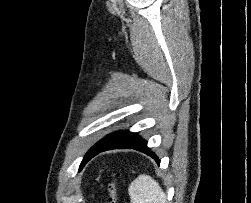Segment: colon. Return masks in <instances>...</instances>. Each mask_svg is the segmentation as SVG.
I'll list each match as a JSON object with an SVG mask.
<instances>
[{
	"mask_svg": "<svg viewBox=\"0 0 251 203\" xmlns=\"http://www.w3.org/2000/svg\"><path fill=\"white\" fill-rule=\"evenodd\" d=\"M108 191V203H118L116 175H114V180L109 184Z\"/></svg>",
	"mask_w": 251,
	"mask_h": 203,
	"instance_id": "colon-1",
	"label": "colon"
}]
</instances>
